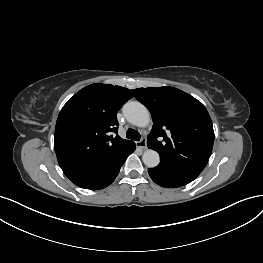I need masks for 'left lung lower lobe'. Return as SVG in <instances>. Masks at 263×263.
Returning a JSON list of instances; mask_svg holds the SVG:
<instances>
[{
	"instance_id": "0a47b994",
	"label": "left lung lower lobe",
	"mask_w": 263,
	"mask_h": 263,
	"mask_svg": "<svg viewBox=\"0 0 263 263\" xmlns=\"http://www.w3.org/2000/svg\"><path fill=\"white\" fill-rule=\"evenodd\" d=\"M148 173L155 183L167 188L186 185L199 175V173L174 168L163 163L155 168H150Z\"/></svg>"
}]
</instances>
